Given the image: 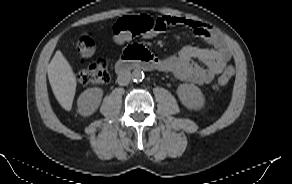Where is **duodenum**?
I'll return each instance as SVG.
<instances>
[{"label": "duodenum", "instance_id": "duodenum-1", "mask_svg": "<svg viewBox=\"0 0 292 184\" xmlns=\"http://www.w3.org/2000/svg\"><path fill=\"white\" fill-rule=\"evenodd\" d=\"M161 59L149 53L142 46H135L124 52L123 58L116 64V73L122 75L130 68L149 70L162 68Z\"/></svg>", "mask_w": 292, "mask_h": 184}]
</instances>
